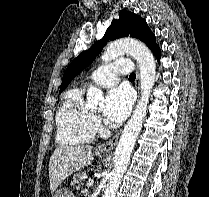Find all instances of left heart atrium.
I'll return each mask as SVG.
<instances>
[{
	"instance_id": "1",
	"label": "left heart atrium",
	"mask_w": 209,
	"mask_h": 197,
	"mask_svg": "<svg viewBox=\"0 0 209 197\" xmlns=\"http://www.w3.org/2000/svg\"><path fill=\"white\" fill-rule=\"evenodd\" d=\"M133 94L126 86L111 88L105 99L103 113L111 124H119L126 119L133 105Z\"/></svg>"
}]
</instances>
